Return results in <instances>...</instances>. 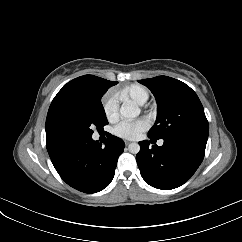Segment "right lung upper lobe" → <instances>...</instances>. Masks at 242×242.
Here are the masks:
<instances>
[{
    "label": "right lung upper lobe",
    "mask_w": 242,
    "mask_h": 242,
    "mask_svg": "<svg viewBox=\"0 0 242 242\" xmlns=\"http://www.w3.org/2000/svg\"><path fill=\"white\" fill-rule=\"evenodd\" d=\"M117 82L109 81L93 75H84L75 78L64 85L53 101L63 96L93 97L108 90ZM53 136L46 133V140Z\"/></svg>",
    "instance_id": "right-lung-upper-lobe-1"
}]
</instances>
